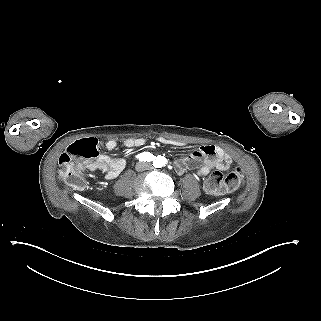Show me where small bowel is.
Here are the masks:
<instances>
[{
	"label": "small bowel",
	"mask_w": 321,
	"mask_h": 321,
	"mask_svg": "<svg viewBox=\"0 0 321 321\" xmlns=\"http://www.w3.org/2000/svg\"><path fill=\"white\" fill-rule=\"evenodd\" d=\"M161 144L183 147L186 143L167 139L159 138ZM145 144L142 138H129L123 142V146L128 149L140 148ZM107 150H115L117 142L113 139L105 142ZM231 158L219 147L207 145L202 146L194 151L187 157L180 158L175 162V169L179 173L196 169L197 174L201 177L207 176L212 170H227L231 164ZM126 160L123 158H111L107 155H100L93 161L86 162L84 168L89 171H99L105 176L106 179H115L125 168Z\"/></svg>",
	"instance_id": "obj_1"
}]
</instances>
